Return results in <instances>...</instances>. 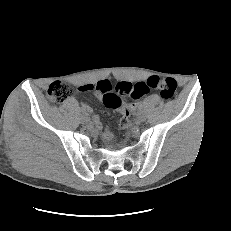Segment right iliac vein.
<instances>
[{
    "label": "right iliac vein",
    "mask_w": 231,
    "mask_h": 231,
    "mask_svg": "<svg viewBox=\"0 0 231 231\" xmlns=\"http://www.w3.org/2000/svg\"><path fill=\"white\" fill-rule=\"evenodd\" d=\"M81 119H82L83 123H89L90 122V117L86 113H83Z\"/></svg>",
    "instance_id": "obj_1"
}]
</instances>
